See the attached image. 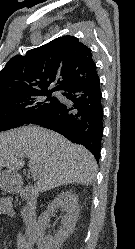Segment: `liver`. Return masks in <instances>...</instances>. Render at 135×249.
Returning a JSON list of instances; mask_svg holds the SVG:
<instances>
[{
  "instance_id": "6515ba94",
  "label": "liver",
  "mask_w": 135,
  "mask_h": 249,
  "mask_svg": "<svg viewBox=\"0 0 135 249\" xmlns=\"http://www.w3.org/2000/svg\"><path fill=\"white\" fill-rule=\"evenodd\" d=\"M23 157L38 164L35 189L46 192L65 184L91 185L96 177L94 156L83 146L39 126L0 133V168L19 171Z\"/></svg>"
}]
</instances>
